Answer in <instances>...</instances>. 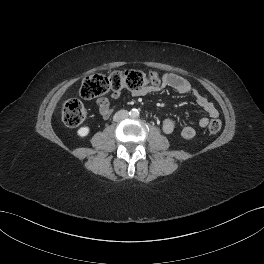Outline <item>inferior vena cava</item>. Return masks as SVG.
Returning a JSON list of instances; mask_svg holds the SVG:
<instances>
[{"label": "inferior vena cava", "mask_w": 264, "mask_h": 264, "mask_svg": "<svg viewBox=\"0 0 264 264\" xmlns=\"http://www.w3.org/2000/svg\"><path fill=\"white\" fill-rule=\"evenodd\" d=\"M129 116V113L127 110H120L114 115V121H119L122 119H125Z\"/></svg>", "instance_id": "602c4592"}]
</instances>
